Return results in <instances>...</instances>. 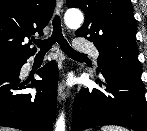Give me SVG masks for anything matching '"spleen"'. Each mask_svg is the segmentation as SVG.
<instances>
[{"label": "spleen", "mask_w": 147, "mask_h": 131, "mask_svg": "<svg viewBox=\"0 0 147 131\" xmlns=\"http://www.w3.org/2000/svg\"><path fill=\"white\" fill-rule=\"evenodd\" d=\"M101 131H127L125 128L120 126H104L101 128Z\"/></svg>", "instance_id": "spleen-1"}]
</instances>
